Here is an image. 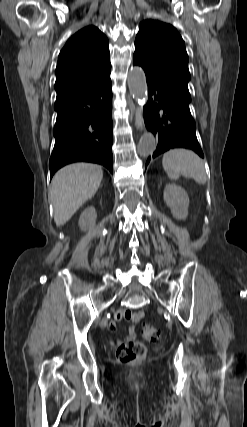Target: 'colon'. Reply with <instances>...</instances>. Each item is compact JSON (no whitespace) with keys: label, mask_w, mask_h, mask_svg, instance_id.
Segmentation results:
<instances>
[{"label":"colon","mask_w":247,"mask_h":427,"mask_svg":"<svg viewBox=\"0 0 247 427\" xmlns=\"http://www.w3.org/2000/svg\"><path fill=\"white\" fill-rule=\"evenodd\" d=\"M142 335L146 340L156 342L160 338V331L156 327L146 324L142 328ZM146 354L145 345L140 342L128 341L118 347L116 357L120 363L134 364L144 360Z\"/></svg>","instance_id":"1"}]
</instances>
